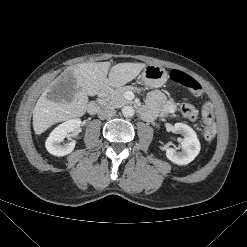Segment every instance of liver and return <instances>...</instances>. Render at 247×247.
I'll return each instance as SVG.
<instances>
[{
	"label": "liver",
	"mask_w": 247,
	"mask_h": 247,
	"mask_svg": "<svg viewBox=\"0 0 247 247\" xmlns=\"http://www.w3.org/2000/svg\"><path fill=\"white\" fill-rule=\"evenodd\" d=\"M85 62L71 66L41 94L33 110V129L41 134L52 125L85 114L88 95L108 87L119 88L146 67L144 63ZM110 69V71H109ZM108 74V77H107ZM63 82L66 88L57 84Z\"/></svg>",
	"instance_id": "obj_1"
}]
</instances>
